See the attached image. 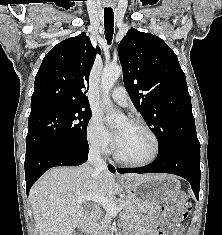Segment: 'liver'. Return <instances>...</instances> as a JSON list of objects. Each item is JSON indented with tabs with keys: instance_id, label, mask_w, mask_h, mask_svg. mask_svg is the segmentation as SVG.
<instances>
[{
	"instance_id": "obj_1",
	"label": "liver",
	"mask_w": 222,
	"mask_h": 235,
	"mask_svg": "<svg viewBox=\"0 0 222 235\" xmlns=\"http://www.w3.org/2000/svg\"><path fill=\"white\" fill-rule=\"evenodd\" d=\"M127 182L151 178L145 174H124ZM123 192L115 175L89 164L76 167H54L31 188L29 200L40 235H72L75 228L89 217V210L79 201L90 194L110 198Z\"/></svg>"
}]
</instances>
